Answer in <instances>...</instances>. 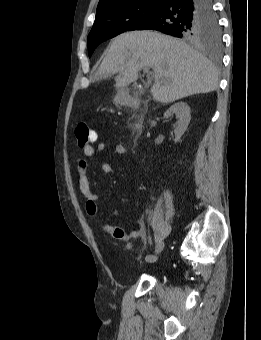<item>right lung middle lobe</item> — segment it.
<instances>
[{
    "mask_svg": "<svg viewBox=\"0 0 261 340\" xmlns=\"http://www.w3.org/2000/svg\"><path fill=\"white\" fill-rule=\"evenodd\" d=\"M161 2L162 0L137 1L109 9L96 17L87 38L89 57L103 41L125 31H132L145 22L155 13ZM179 38L219 44L221 32L214 11L209 15H196L188 19Z\"/></svg>",
    "mask_w": 261,
    "mask_h": 340,
    "instance_id": "right-lung-middle-lobe-1",
    "label": "right lung middle lobe"
}]
</instances>
